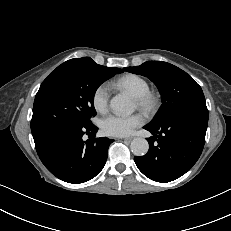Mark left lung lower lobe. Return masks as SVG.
I'll list each match as a JSON object with an SVG mask.
<instances>
[{
    "mask_svg": "<svg viewBox=\"0 0 231 231\" xmlns=\"http://www.w3.org/2000/svg\"><path fill=\"white\" fill-rule=\"evenodd\" d=\"M207 124V108L185 110L160 124H147L143 128L153 136L147 138V154L134 157L138 169L156 182L166 183L181 177L202 153Z\"/></svg>",
    "mask_w": 231,
    "mask_h": 231,
    "instance_id": "obj_1",
    "label": "left lung lower lobe"
}]
</instances>
